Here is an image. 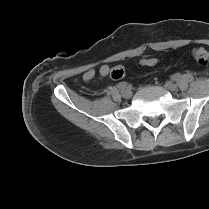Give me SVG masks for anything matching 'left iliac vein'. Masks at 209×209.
<instances>
[{
    "label": "left iliac vein",
    "mask_w": 209,
    "mask_h": 209,
    "mask_svg": "<svg viewBox=\"0 0 209 209\" xmlns=\"http://www.w3.org/2000/svg\"><path fill=\"white\" fill-rule=\"evenodd\" d=\"M165 88L169 91H175L177 89V85L171 81L166 82Z\"/></svg>",
    "instance_id": "4c4485c4"
}]
</instances>
